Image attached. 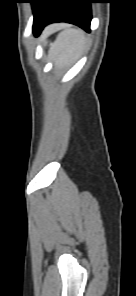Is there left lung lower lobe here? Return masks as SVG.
Here are the masks:
<instances>
[{
    "label": "left lung lower lobe",
    "instance_id": "1",
    "mask_svg": "<svg viewBox=\"0 0 136 296\" xmlns=\"http://www.w3.org/2000/svg\"><path fill=\"white\" fill-rule=\"evenodd\" d=\"M91 3H96V0H53L47 15L33 23L34 35L39 36L46 25L54 22L75 24L90 32Z\"/></svg>",
    "mask_w": 136,
    "mask_h": 296
}]
</instances>
